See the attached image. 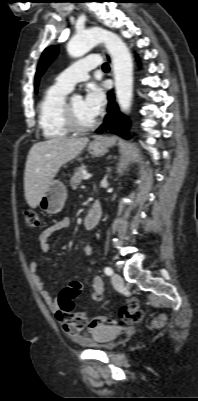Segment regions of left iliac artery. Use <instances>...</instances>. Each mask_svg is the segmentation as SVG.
<instances>
[{
	"instance_id": "obj_1",
	"label": "left iliac artery",
	"mask_w": 198,
	"mask_h": 401,
	"mask_svg": "<svg viewBox=\"0 0 198 401\" xmlns=\"http://www.w3.org/2000/svg\"><path fill=\"white\" fill-rule=\"evenodd\" d=\"M104 272L106 275L110 276L113 273V270L110 267H105Z\"/></svg>"
}]
</instances>
